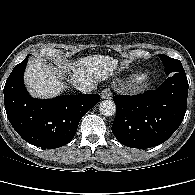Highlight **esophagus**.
I'll return each instance as SVG.
<instances>
[{"mask_svg":"<svg viewBox=\"0 0 195 195\" xmlns=\"http://www.w3.org/2000/svg\"><path fill=\"white\" fill-rule=\"evenodd\" d=\"M111 96H112V93H111V91H110L109 88H106V89H104V90L101 92V98H102V99H110Z\"/></svg>","mask_w":195,"mask_h":195,"instance_id":"obj_1","label":"esophagus"}]
</instances>
